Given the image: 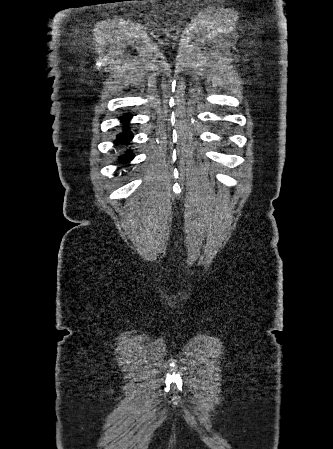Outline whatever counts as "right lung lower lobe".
<instances>
[{
    "instance_id": "obj_1",
    "label": "right lung lower lobe",
    "mask_w": 333,
    "mask_h": 449,
    "mask_svg": "<svg viewBox=\"0 0 333 449\" xmlns=\"http://www.w3.org/2000/svg\"><path fill=\"white\" fill-rule=\"evenodd\" d=\"M131 115L129 113L123 115L121 117V122L123 123V132L117 135L116 141H118L121 145H127V142L130 141L133 137L132 133L127 129L128 121L131 119ZM134 158V154L131 151L125 152L122 156L118 157L119 164H124L130 162Z\"/></svg>"
}]
</instances>
